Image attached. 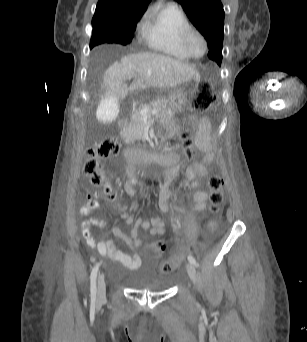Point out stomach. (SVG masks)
Returning a JSON list of instances; mask_svg holds the SVG:
<instances>
[{"label":"stomach","instance_id":"0dacf381","mask_svg":"<svg viewBox=\"0 0 307 342\" xmlns=\"http://www.w3.org/2000/svg\"><path fill=\"white\" fill-rule=\"evenodd\" d=\"M197 87L198 82L191 80L175 89L169 96L172 110L175 112L183 111L188 106L189 100L196 92Z\"/></svg>","mask_w":307,"mask_h":342}]
</instances>
